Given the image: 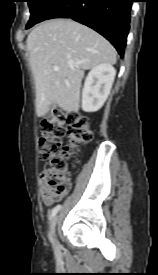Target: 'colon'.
Returning a JSON list of instances; mask_svg holds the SVG:
<instances>
[{
    "mask_svg": "<svg viewBox=\"0 0 158 275\" xmlns=\"http://www.w3.org/2000/svg\"><path fill=\"white\" fill-rule=\"evenodd\" d=\"M66 134L69 143L63 147ZM91 139V121L86 116L55 111L43 121L37 147L40 158L47 163L39 176L45 198L58 201L64 196L70 186L65 156Z\"/></svg>",
    "mask_w": 158,
    "mask_h": 275,
    "instance_id": "colon-1",
    "label": "colon"
}]
</instances>
